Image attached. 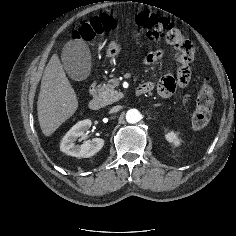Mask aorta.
<instances>
[{"mask_svg":"<svg viewBox=\"0 0 236 236\" xmlns=\"http://www.w3.org/2000/svg\"><path fill=\"white\" fill-rule=\"evenodd\" d=\"M141 118V114L137 109H130L126 113V121L130 124L137 123Z\"/></svg>","mask_w":236,"mask_h":236,"instance_id":"obj_1","label":"aorta"}]
</instances>
